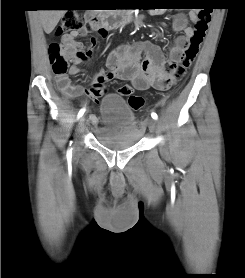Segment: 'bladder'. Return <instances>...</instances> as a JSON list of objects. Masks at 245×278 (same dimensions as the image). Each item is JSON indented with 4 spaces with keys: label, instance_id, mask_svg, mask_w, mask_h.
Masks as SVG:
<instances>
[{
    "label": "bladder",
    "instance_id": "bladder-1",
    "mask_svg": "<svg viewBox=\"0 0 245 278\" xmlns=\"http://www.w3.org/2000/svg\"><path fill=\"white\" fill-rule=\"evenodd\" d=\"M101 126L98 140L112 150L138 144L143 132L138 128L133 108L119 94H107L100 105Z\"/></svg>",
    "mask_w": 245,
    "mask_h": 278
}]
</instances>
